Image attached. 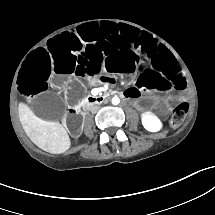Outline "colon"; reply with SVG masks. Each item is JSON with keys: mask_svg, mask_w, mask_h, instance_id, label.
<instances>
[{"mask_svg": "<svg viewBox=\"0 0 215 215\" xmlns=\"http://www.w3.org/2000/svg\"><path fill=\"white\" fill-rule=\"evenodd\" d=\"M189 110V104L187 102H182L178 104L172 113L171 126L178 127L182 124L187 112Z\"/></svg>", "mask_w": 215, "mask_h": 215, "instance_id": "1", "label": "colon"}]
</instances>
